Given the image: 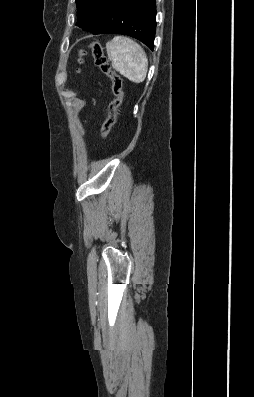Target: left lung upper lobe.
<instances>
[{
  "mask_svg": "<svg viewBox=\"0 0 254 397\" xmlns=\"http://www.w3.org/2000/svg\"><path fill=\"white\" fill-rule=\"evenodd\" d=\"M107 0H76L77 26L92 31L102 20L107 9Z\"/></svg>",
  "mask_w": 254,
  "mask_h": 397,
  "instance_id": "obj_1",
  "label": "left lung upper lobe"
}]
</instances>
